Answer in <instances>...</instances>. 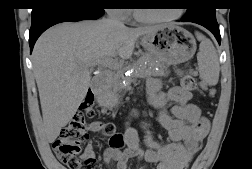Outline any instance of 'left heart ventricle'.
<instances>
[{
    "label": "left heart ventricle",
    "mask_w": 252,
    "mask_h": 169,
    "mask_svg": "<svg viewBox=\"0 0 252 169\" xmlns=\"http://www.w3.org/2000/svg\"><path fill=\"white\" fill-rule=\"evenodd\" d=\"M172 11H160L151 9H138V13L143 17L155 18L170 14Z\"/></svg>",
    "instance_id": "b2bd125f"
}]
</instances>
